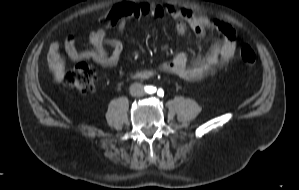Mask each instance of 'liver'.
I'll use <instances>...</instances> for the list:
<instances>
[{"mask_svg":"<svg viewBox=\"0 0 299 190\" xmlns=\"http://www.w3.org/2000/svg\"><path fill=\"white\" fill-rule=\"evenodd\" d=\"M64 76H65V64L64 61L60 60L57 63L54 71V77L56 82L61 83L64 79Z\"/></svg>","mask_w":299,"mask_h":190,"instance_id":"obj_1","label":"liver"}]
</instances>
